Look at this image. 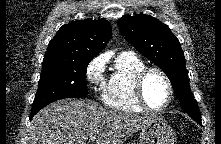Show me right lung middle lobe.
<instances>
[{
    "label": "right lung middle lobe",
    "mask_w": 221,
    "mask_h": 144,
    "mask_svg": "<svg viewBox=\"0 0 221 144\" xmlns=\"http://www.w3.org/2000/svg\"><path fill=\"white\" fill-rule=\"evenodd\" d=\"M90 61H43L39 88L31 113L64 98L87 96L86 70Z\"/></svg>",
    "instance_id": "1"
}]
</instances>
